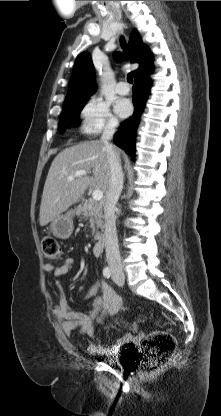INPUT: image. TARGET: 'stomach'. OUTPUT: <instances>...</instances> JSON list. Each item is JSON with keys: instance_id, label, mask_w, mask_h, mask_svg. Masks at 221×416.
Listing matches in <instances>:
<instances>
[{"instance_id": "stomach-1", "label": "stomach", "mask_w": 221, "mask_h": 416, "mask_svg": "<svg viewBox=\"0 0 221 416\" xmlns=\"http://www.w3.org/2000/svg\"><path fill=\"white\" fill-rule=\"evenodd\" d=\"M50 232L59 239H68L74 230L73 213L59 215L50 223Z\"/></svg>"}]
</instances>
